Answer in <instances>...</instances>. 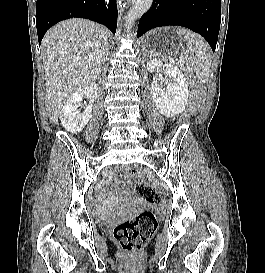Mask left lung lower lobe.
<instances>
[{"label": "left lung lower lobe", "mask_w": 265, "mask_h": 273, "mask_svg": "<svg viewBox=\"0 0 265 273\" xmlns=\"http://www.w3.org/2000/svg\"><path fill=\"white\" fill-rule=\"evenodd\" d=\"M220 21V0H154L139 21L137 36L156 27L183 26L201 34L214 52Z\"/></svg>", "instance_id": "1"}]
</instances>
